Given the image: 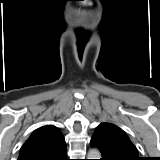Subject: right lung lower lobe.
I'll return each mask as SVG.
<instances>
[{
  "instance_id": "1",
  "label": "right lung lower lobe",
  "mask_w": 160,
  "mask_h": 160,
  "mask_svg": "<svg viewBox=\"0 0 160 160\" xmlns=\"http://www.w3.org/2000/svg\"><path fill=\"white\" fill-rule=\"evenodd\" d=\"M57 160H68L67 159V151H65L62 156H60L59 158H57Z\"/></svg>"
}]
</instances>
